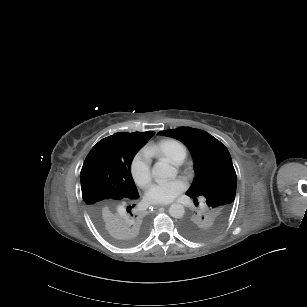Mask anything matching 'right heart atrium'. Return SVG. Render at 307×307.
Returning a JSON list of instances; mask_svg holds the SVG:
<instances>
[{
  "mask_svg": "<svg viewBox=\"0 0 307 307\" xmlns=\"http://www.w3.org/2000/svg\"><path fill=\"white\" fill-rule=\"evenodd\" d=\"M131 174L137 183H144L150 178V160L143 151L137 152L130 162Z\"/></svg>",
  "mask_w": 307,
  "mask_h": 307,
  "instance_id": "1",
  "label": "right heart atrium"
}]
</instances>
